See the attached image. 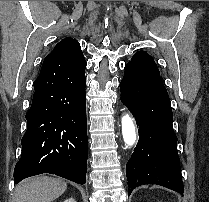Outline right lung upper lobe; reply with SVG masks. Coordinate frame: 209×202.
Returning <instances> with one entry per match:
<instances>
[{
	"instance_id": "right-lung-upper-lobe-1",
	"label": "right lung upper lobe",
	"mask_w": 209,
	"mask_h": 202,
	"mask_svg": "<svg viewBox=\"0 0 209 202\" xmlns=\"http://www.w3.org/2000/svg\"><path fill=\"white\" fill-rule=\"evenodd\" d=\"M46 58L59 60L54 68L61 74L74 79L85 75L86 61L75 39L69 37L63 39Z\"/></svg>"
}]
</instances>
